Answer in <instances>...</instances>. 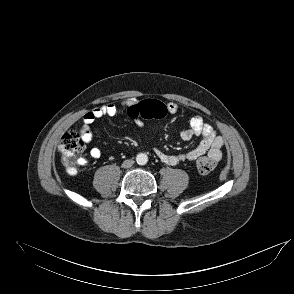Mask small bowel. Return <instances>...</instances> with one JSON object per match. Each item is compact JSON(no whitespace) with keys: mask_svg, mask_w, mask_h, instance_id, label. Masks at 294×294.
<instances>
[{"mask_svg":"<svg viewBox=\"0 0 294 294\" xmlns=\"http://www.w3.org/2000/svg\"><path fill=\"white\" fill-rule=\"evenodd\" d=\"M135 103L133 100L123 102L124 106H129ZM169 113L174 114L178 111V105L174 102L165 104ZM118 107L115 104H106L86 113L83 117V122L79 128V133L85 143L92 141V132L90 125L97 119L108 116L113 117L118 113ZM183 140H190L195 136L201 137L199 144L184 153L168 154L159 148H154L153 151L158 159L167 165H176L182 161H194L199 157L208 154V156L219 161L222 157V147L224 144L223 138L216 134L213 127L206 123L200 115H195L190 119L188 128L184 129L181 134ZM100 149L94 147L90 150V156L93 159L101 157ZM86 163V160H82Z\"/></svg>","mask_w":294,"mask_h":294,"instance_id":"obj_1","label":"small bowel"}]
</instances>
